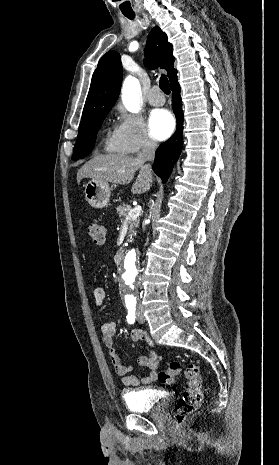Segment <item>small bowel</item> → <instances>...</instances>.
<instances>
[{
  "instance_id": "obj_1",
  "label": "small bowel",
  "mask_w": 279,
  "mask_h": 465,
  "mask_svg": "<svg viewBox=\"0 0 279 465\" xmlns=\"http://www.w3.org/2000/svg\"><path fill=\"white\" fill-rule=\"evenodd\" d=\"M106 291L102 287H97L93 291L94 303L97 306L103 304L106 299ZM117 332V323L115 321L105 322L101 325V334L103 342L108 349L110 361L115 369L117 375L121 377L122 384L125 387H135L140 384L148 385L157 380V372L162 356L157 355L155 352L154 342L148 337V335L142 330H133L131 332V340L134 342H142L144 349L147 354L141 356L138 360L140 366L148 368L149 372L147 376L141 380L138 379L134 374V368L132 366H126L122 363L118 352L113 347V338Z\"/></svg>"
}]
</instances>
